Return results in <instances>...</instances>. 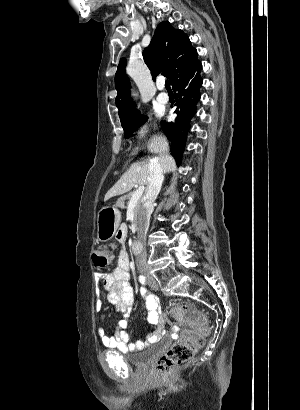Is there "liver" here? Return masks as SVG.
<instances>
[{"label": "liver", "instance_id": "1", "mask_svg": "<svg viewBox=\"0 0 300 410\" xmlns=\"http://www.w3.org/2000/svg\"><path fill=\"white\" fill-rule=\"evenodd\" d=\"M147 147L150 152L160 153V156L155 157L154 160H157L160 163L164 172L167 173L176 170V163L173 157L169 155V143L165 136H153ZM149 162L144 161L131 165L116 184L106 193L104 200L106 201L113 196L129 192L136 184L140 186H148Z\"/></svg>", "mask_w": 300, "mask_h": 410}]
</instances>
